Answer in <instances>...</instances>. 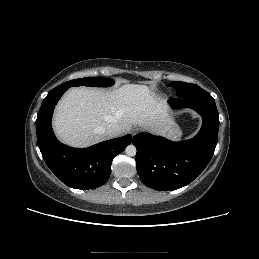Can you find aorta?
I'll list each match as a JSON object with an SVG mask.
<instances>
[{
    "label": "aorta",
    "mask_w": 259,
    "mask_h": 259,
    "mask_svg": "<svg viewBox=\"0 0 259 259\" xmlns=\"http://www.w3.org/2000/svg\"><path fill=\"white\" fill-rule=\"evenodd\" d=\"M136 152H137L136 147L133 144L127 146L126 149H125V153L128 156H135Z\"/></svg>",
    "instance_id": "aorta-1"
}]
</instances>
